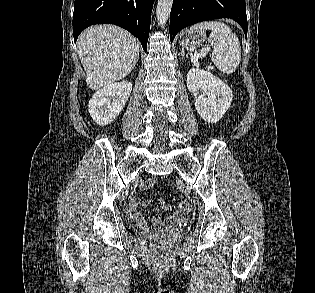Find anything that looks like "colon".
<instances>
[{"label":"colon","instance_id":"colon-1","mask_svg":"<svg viewBox=\"0 0 315 293\" xmlns=\"http://www.w3.org/2000/svg\"><path fill=\"white\" fill-rule=\"evenodd\" d=\"M178 208H179L178 211H185V213H186L189 210L190 206H189V203L186 201H179L178 202Z\"/></svg>","mask_w":315,"mask_h":293}]
</instances>
